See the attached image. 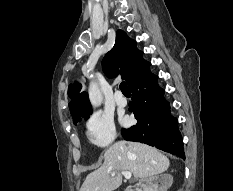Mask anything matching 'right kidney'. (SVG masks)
I'll return each instance as SVG.
<instances>
[{"mask_svg":"<svg viewBox=\"0 0 233 191\" xmlns=\"http://www.w3.org/2000/svg\"><path fill=\"white\" fill-rule=\"evenodd\" d=\"M172 184L173 176L171 174H161L149 179L146 191H167Z\"/></svg>","mask_w":233,"mask_h":191,"instance_id":"obj_1","label":"right kidney"}]
</instances>
